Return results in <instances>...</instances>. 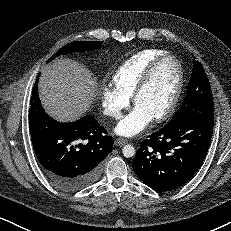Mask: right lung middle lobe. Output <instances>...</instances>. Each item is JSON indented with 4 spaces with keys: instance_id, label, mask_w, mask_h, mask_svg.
Returning a JSON list of instances; mask_svg holds the SVG:
<instances>
[{
    "instance_id": "1",
    "label": "right lung middle lobe",
    "mask_w": 231,
    "mask_h": 231,
    "mask_svg": "<svg viewBox=\"0 0 231 231\" xmlns=\"http://www.w3.org/2000/svg\"><path fill=\"white\" fill-rule=\"evenodd\" d=\"M102 45L100 41H79L72 42L68 45H65L61 48L57 53H55L49 60L56 58L59 55L68 54L72 52H80V51H91L94 49H98Z\"/></svg>"
}]
</instances>
